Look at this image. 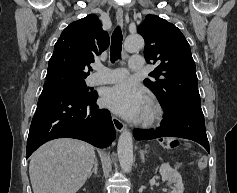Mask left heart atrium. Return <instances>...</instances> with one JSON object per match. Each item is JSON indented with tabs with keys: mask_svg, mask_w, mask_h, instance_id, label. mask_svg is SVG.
Masks as SVG:
<instances>
[{
	"mask_svg": "<svg viewBox=\"0 0 237 193\" xmlns=\"http://www.w3.org/2000/svg\"><path fill=\"white\" fill-rule=\"evenodd\" d=\"M103 103L113 112L129 120L143 119L150 105L145 92L128 81L107 88L103 94Z\"/></svg>",
	"mask_w": 237,
	"mask_h": 193,
	"instance_id": "1",
	"label": "left heart atrium"
}]
</instances>
